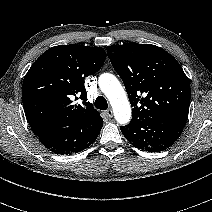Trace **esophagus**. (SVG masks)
<instances>
[{
	"label": "esophagus",
	"instance_id": "34e87169",
	"mask_svg": "<svg viewBox=\"0 0 212 212\" xmlns=\"http://www.w3.org/2000/svg\"><path fill=\"white\" fill-rule=\"evenodd\" d=\"M106 115H107L109 118H111V117L113 116V111H112V109L106 110Z\"/></svg>",
	"mask_w": 212,
	"mask_h": 212
}]
</instances>
